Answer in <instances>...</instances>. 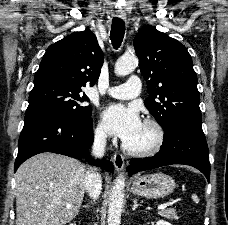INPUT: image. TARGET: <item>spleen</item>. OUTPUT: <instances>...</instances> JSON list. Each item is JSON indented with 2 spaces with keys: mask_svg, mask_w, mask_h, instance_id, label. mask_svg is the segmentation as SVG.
I'll list each match as a JSON object with an SVG mask.
<instances>
[{
  "mask_svg": "<svg viewBox=\"0 0 228 225\" xmlns=\"http://www.w3.org/2000/svg\"><path fill=\"white\" fill-rule=\"evenodd\" d=\"M192 199H193V201H198L197 195H192Z\"/></svg>",
  "mask_w": 228,
  "mask_h": 225,
  "instance_id": "spleen-1",
  "label": "spleen"
}]
</instances>
